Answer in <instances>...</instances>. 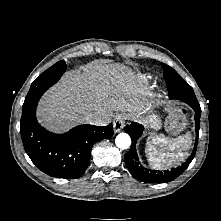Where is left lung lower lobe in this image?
<instances>
[{
  "label": "left lung lower lobe",
  "instance_id": "1",
  "mask_svg": "<svg viewBox=\"0 0 221 221\" xmlns=\"http://www.w3.org/2000/svg\"><path fill=\"white\" fill-rule=\"evenodd\" d=\"M169 97L172 99L180 100L185 102L195 111V130H196V140L192 154L183 163L181 166L177 168H173L171 171H155V170H147L138 161V156L136 153V142L137 139L142 135L144 130L142 125L137 123H132L131 125H127L125 127V131L132 138V146L130 150L125 154V163L127 165L128 170L136 179L149 182V183H166L174 180L179 175L184 172V170L188 167L195 156L197 143H198V134L200 128V115L201 108L197 101V98L194 94L192 87L183 79H179L174 82L172 85L168 87Z\"/></svg>",
  "mask_w": 221,
  "mask_h": 221
}]
</instances>
